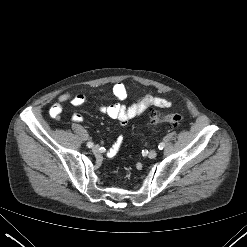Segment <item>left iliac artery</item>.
<instances>
[{"mask_svg": "<svg viewBox=\"0 0 247 247\" xmlns=\"http://www.w3.org/2000/svg\"><path fill=\"white\" fill-rule=\"evenodd\" d=\"M164 147H165V143H164V142H161V143L159 144V146H158V148H159L160 150H162Z\"/></svg>", "mask_w": 247, "mask_h": 247, "instance_id": "1", "label": "left iliac artery"}]
</instances>
